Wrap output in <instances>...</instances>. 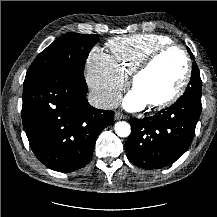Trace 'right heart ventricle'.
<instances>
[{"instance_id": "right-heart-ventricle-1", "label": "right heart ventricle", "mask_w": 217, "mask_h": 217, "mask_svg": "<svg viewBox=\"0 0 217 217\" xmlns=\"http://www.w3.org/2000/svg\"><path fill=\"white\" fill-rule=\"evenodd\" d=\"M172 40L162 34H136L110 39L106 46L113 67L125 78L155 49L171 44Z\"/></svg>"}]
</instances>
